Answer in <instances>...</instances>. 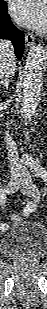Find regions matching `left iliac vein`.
<instances>
[{
    "label": "left iliac vein",
    "instance_id": "left-iliac-vein-1",
    "mask_svg": "<svg viewBox=\"0 0 47 309\" xmlns=\"http://www.w3.org/2000/svg\"><path fill=\"white\" fill-rule=\"evenodd\" d=\"M20 190L23 194L34 199L32 205H35V203L39 200V191L37 190V186L31 182L30 178L23 180L20 185Z\"/></svg>",
    "mask_w": 47,
    "mask_h": 309
}]
</instances>
